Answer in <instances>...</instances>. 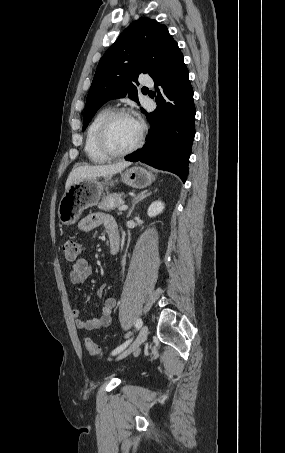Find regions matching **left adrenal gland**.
Here are the masks:
<instances>
[{
	"mask_svg": "<svg viewBox=\"0 0 285 453\" xmlns=\"http://www.w3.org/2000/svg\"><path fill=\"white\" fill-rule=\"evenodd\" d=\"M151 195V192H148V190H145V191H142L141 193H139L137 195V197H135L133 200H132V207L130 208L129 212H128V215H127V218H129L136 206L137 203L141 202L143 199H145L146 197L150 196Z\"/></svg>",
	"mask_w": 285,
	"mask_h": 453,
	"instance_id": "obj_1",
	"label": "left adrenal gland"
}]
</instances>
